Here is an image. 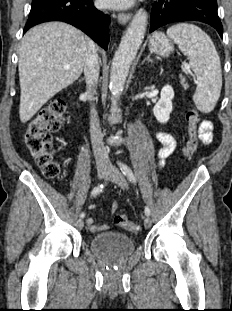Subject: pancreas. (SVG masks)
I'll use <instances>...</instances> for the list:
<instances>
[{"mask_svg":"<svg viewBox=\"0 0 232 311\" xmlns=\"http://www.w3.org/2000/svg\"><path fill=\"white\" fill-rule=\"evenodd\" d=\"M181 85L185 88L187 85L184 83V81H181Z\"/></svg>","mask_w":232,"mask_h":311,"instance_id":"1","label":"pancreas"}]
</instances>
